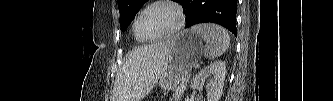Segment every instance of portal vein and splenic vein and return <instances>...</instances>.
<instances>
[{"mask_svg": "<svg viewBox=\"0 0 333 101\" xmlns=\"http://www.w3.org/2000/svg\"><path fill=\"white\" fill-rule=\"evenodd\" d=\"M195 67H196V68H198V67H199V65H196Z\"/></svg>", "mask_w": 333, "mask_h": 101, "instance_id": "portal-vein-and-splenic-vein-1", "label": "portal vein and splenic vein"}]
</instances>
